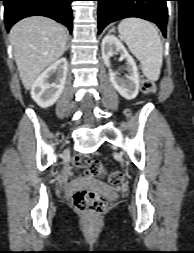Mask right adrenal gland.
I'll return each instance as SVG.
<instances>
[{
    "instance_id": "2a0ac1e0",
    "label": "right adrenal gland",
    "mask_w": 194,
    "mask_h": 253,
    "mask_svg": "<svg viewBox=\"0 0 194 253\" xmlns=\"http://www.w3.org/2000/svg\"><path fill=\"white\" fill-rule=\"evenodd\" d=\"M68 48H69V43H68L67 46H66V50H68Z\"/></svg>"
}]
</instances>
